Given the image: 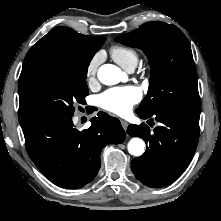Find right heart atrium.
Returning <instances> with one entry per match:
<instances>
[{
	"label": "right heart atrium",
	"mask_w": 221,
	"mask_h": 221,
	"mask_svg": "<svg viewBox=\"0 0 221 221\" xmlns=\"http://www.w3.org/2000/svg\"><path fill=\"white\" fill-rule=\"evenodd\" d=\"M101 54L97 53L95 54L88 62L86 66V79L89 84L93 83L96 80V74L99 67V64L101 62Z\"/></svg>",
	"instance_id": "d8ad5b80"
}]
</instances>
